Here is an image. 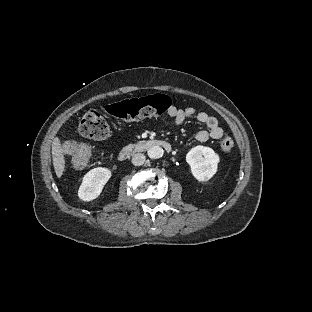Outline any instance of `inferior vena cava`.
Returning a JSON list of instances; mask_svg holds the SVG:
<instances>
[{
  "instance_id": "1",
  "label": "inferior vena cava",
  "mask_w": 312,
  "mask_h": 312,
  "mask_svg": "<svg viewBox=\"0 0 312 312\" xmlns=\"http://www.w3.org/2000/svg\"><path fill=\"white\" fill-rule=\"evenodd\" d=\"M145 160H146L145 155H143L141 153L134 154L133 157H132V163L135 166L143 165Z\"/></svg>"
}]
</instances>
